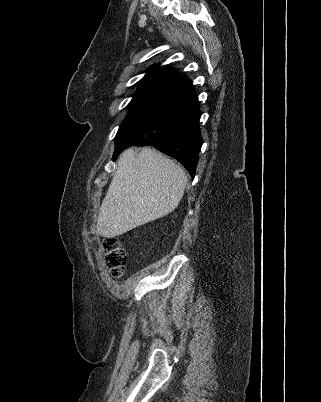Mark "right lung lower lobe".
I'll list each match as a JSON object with an SVG mask.
<instances>
[{"label": "right lung lower lobe", "mask_w": 321, "mask_h": 402, "mask_svg": "<svg viewBox=\"0 0 321 402\" xmlns=\"http://www.w3.org/2000/svg\"><path fill=\"white\" fill-rule=\"evenodd\" d=\"M200 116L198 97L185 80L116 137L113 160L130 146H153L178 160L194 178L202 146Z\"/></svg>", "instance_id": "1"}]
</instances>
